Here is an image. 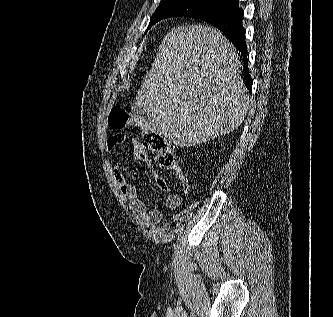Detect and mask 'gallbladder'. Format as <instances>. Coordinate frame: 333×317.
Listing matches in <instances>:
<instances>
[{
    "label": "gallbladder",
    "mask_w": 333,
    "mask_h": 317,
    "mask_svg": "<svg viewBox=\"0 0 333 317\" xmlns=\"http://www.w3.org/2000/svg\"><path fill=\"white\" fill-rule=\"evenodd\" d=\"M131 109L134 113H136L138 115H143L144 114V111L141 108H139L136 103H133L131 105Z\"/></svg>",
    "instance_id": "bac80fb5"
}]
</instances>
